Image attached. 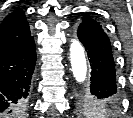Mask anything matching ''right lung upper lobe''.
<instances>
[{
    "instance_id": "obj_1",
    "label": "right lung upper lobe",
    "mask_w": 133,
    "mask_h": 118,
    "mask_svg": "<svg viewBox=\"0 0 133 118\" xmlns=\"http://www.w3.org/2000/svg\"><path fill=\"white\" fill-rule=\"evenodd\" d=\"M32 38L22 9L18 8L0 23V55L22 45Z\"/></svg>"
}]
</instances>
